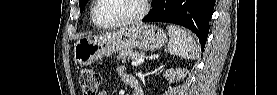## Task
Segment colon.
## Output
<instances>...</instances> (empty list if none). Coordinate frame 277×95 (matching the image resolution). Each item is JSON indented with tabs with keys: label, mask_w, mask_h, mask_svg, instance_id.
<instances>
[{
	"label": "colon",
	"mask_w": 277,
	"mask_h": 95,
	"mask_svg": "<svg viewBox=\"0 0 277 95\" xmlns=\"http://www.w3.org/2000/svg\"><path fill=\"white\" fill-rule=\"evenodd\" d=\"M83 95H97L100 87V76L92 69H83L79 76Z\"/></svg>",
	"instance_id": "obj_1"
}]
</instances>
